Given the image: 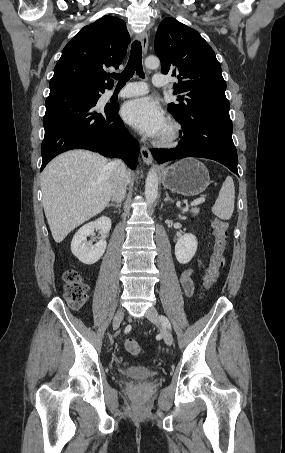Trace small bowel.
<instances>
[{
	"instance_id": "obj_1",
	"label": "small bowel",
	"mask_w": 285,
	"mask_h": 453,
	"mask_svg": "<svg viewBox=\"0 0 285 453\" xmlns=\"http://www.w3.org/2000/svg\"><path fill=\"white\" fill-rule=\"evenodd\" d=\"M193 269L187 268L180 276L181 286L187 296H192L194 292V282L192 279Z\"/></svg>"
}]
</instances>
